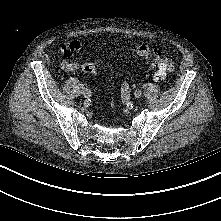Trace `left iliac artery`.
Instances as JSON below:
<instances>
[{
    "label": "left iliac artery",
    "mask_w": 221,
    "mask_h": 221,
    "mask_svg": "<svg viewBox=\"0 0 221 221\" xmlns=\"http://www.w3.org/2000/svg\"><path fill=\"white\" fill-rule=\"evenodd\" d=\"M121 100L123 104H127V105L130 100V89L126 83H124L121 87Z\"/></svg>",
    "instance_id": "1"
}]
</instances>
